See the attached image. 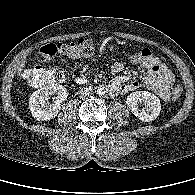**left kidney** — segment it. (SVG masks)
Wrapping results in <instances>:
<instances>
[{
    "instance_id": "5707ae66",
    "label": "left kidney",
    "mask_w": 195,
    "mask_h": 195,
    "mask_svg": "<svg viewBox=\"0 0 195 195\" xmlns=\"http://www.w3.org/2000/svg\"><path fill=\"white\" fill-rule=\"evenodd\" d=\"M138 103H144L145 107L139 109ZM126 104L132 113L143 122L155 120L161 111L160 99L147 91H136L127 96Z\"/></svg>"
}]
</instances>
